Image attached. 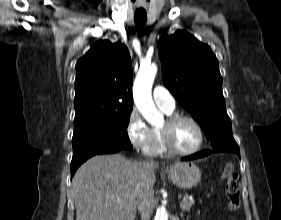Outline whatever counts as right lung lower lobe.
I'll return each mask as SVG.
<instances>
[{"label":"right lung lower lobe","mask_w":281,"mask_h":220,"mask_svg":"<svg viewBox=\"0 0 281 220\" xmlns=\"http://www.w3.org/2000/svg\"><path fill=\"white\" fill-rule=\"evenodd\" d=\"M125 149L119 148V147H109L105 149H99V150H86L83 152H80L76 155H73L72 161H71V175L73 176L77 168L88 158L99 155V154H112L117 153L119 151H123Z\"/></svg>","instance_id":"98d812e1"}]
</instances>
